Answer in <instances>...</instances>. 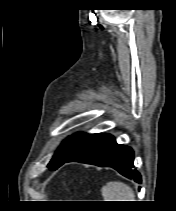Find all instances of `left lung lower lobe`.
I'll return each mask as SVG.
<instances>
[{
    "instance_id": "0a47b994",
    "label": "left lung lower lobe",
    "mask_w": 176,
    "mask_h": 211,
    "mask_svg": "<svg viewBox=\"0 0 176 211\" xmlns=\"http://www.w3.org/2000/svg\"><path fill=\"white\" fill-rule=\"evenodd\" d=\"M133 160L134 153L131 148L117 144L110 134L100 133L95 134L79 152L64 163L81 162L100 167H112L125 177L141 183L139 172L133 169Z\"/></svg>"
}]
</instances>
